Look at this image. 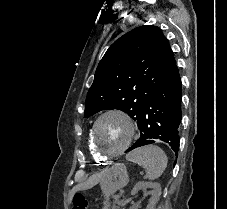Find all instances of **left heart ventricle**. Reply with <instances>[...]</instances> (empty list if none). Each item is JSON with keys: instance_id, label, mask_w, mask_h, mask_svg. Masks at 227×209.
I'll return each mask as SVG.
<instances>
[{"instance_id": "obj_1", "label": "left heart ventricle", "mask_w": 227, "mask_h": 209, "mask_svg": "<svg viewBox=\"0 0 227 209\" xmlns=\"http://www.w3.org/2000/svg\"><path fill=\"white\" fill-rule=\"evenodd\" d=\"M96 142L103 153L120 149L130 136V126L125 119L116 114L105 116L97 125Z\"/></svg>"}]
</instances>
